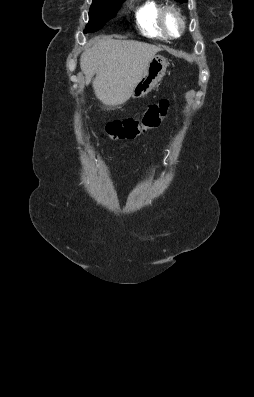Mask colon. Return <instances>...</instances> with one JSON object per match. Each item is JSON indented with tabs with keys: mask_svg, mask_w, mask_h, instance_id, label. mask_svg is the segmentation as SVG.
Returning <instances> with one entry per match:
<instances>
[{
	"mask_svg": "<svg viewBox=\"0 0 254 397\" xmlns=\"http://www.w3.org/2000/svg\"><path fill=\"white\" fill-rule=\"evenodd\" d=\"M169 101L161 100L151 105L140 119H127L109 123L105 134L111 139H134L140 134L159 126L169 111Z\"/></svg>",
	"mask_w": 254,
	"mask_h": 397,
	"instance_id": "colon-1",
	"label": "colon"
}]
</instances>
